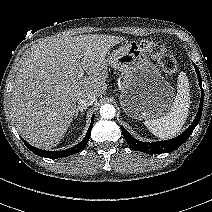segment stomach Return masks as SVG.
Returning <instances> with one entry per match:
<instances>
[{
    "label": "stomach",
    "mask_w": 212,
    "mask_h": 212,
    "mask_svg": "<svg viewBox=\"0 0 212 212\" xmlns=\"http://www.w3.org/2000/svg\"><path fill=\"white\" fill-rule=\"evenodd\" d=\"M107 64L122 73L119 100L126 115L146 120L169 111L174 99L173 87L143 53L138 42H126L109 53Z\"/></svg>",
    "instance_id": "obj_1"
}]
</instances>
